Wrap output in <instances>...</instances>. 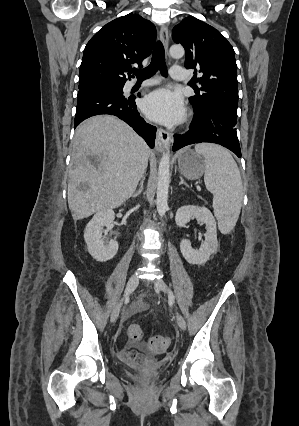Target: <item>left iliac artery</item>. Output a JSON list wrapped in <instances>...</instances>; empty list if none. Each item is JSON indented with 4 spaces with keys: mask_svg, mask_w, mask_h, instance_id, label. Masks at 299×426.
<instances>
[{
    "mask_svg": "<svg viewBox=\"0 0 299 426\" xmlns=\"http://www.w3.org/2000/svg\"><path fill=\"white\" fill-rule=\"evenodd\" d=\"M169 299L171 302H174V295L171 290H169Z\"/></svg>",
    "mask_w": 299,
    "mask_h": 426,
    "instance_id": "left-iliac-artery-1",
    "label": "left iliac artery"
}]
</instances>
